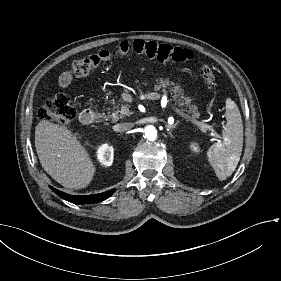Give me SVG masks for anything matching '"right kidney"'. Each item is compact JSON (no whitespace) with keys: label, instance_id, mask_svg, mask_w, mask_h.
I'll return each instance as SVG.
<instances>
[{"label":"right kidney","instance_id":"obj_1","mask_svg":"<svg viewBox=\"0 0 281 281\" xmlns=\"http://www.w3.org/2000/svg\"><path fill=\"white\" fill-rule=\"evenodd\" d=\"M98 158L104 165L110 166L114 160L113 147L108 145L101 146L98 151Z\"/></svg>","mask_w":281,"mask_h":281}]
</instances>
